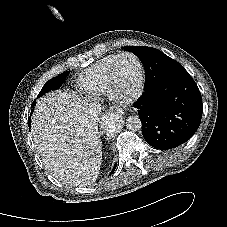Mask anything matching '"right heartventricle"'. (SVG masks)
Instances as JSON below:
<instances>
[{
	"instance_id": "obj_1",
	"label": "right heart ventricle",
	"mask_w": 227,
	"mask_h": 227,
	"mask_svg": "<svg viewBox=\"0 0 227 227\" xmlns=\"http://www.w3.org/2000/svg\"><path fill=\"white\" fill-rule=\"evenodd\" d=\"M117 55L106 56L83 72L77 81L79 91L89 98L108 95L107 74Z\"/></svg>"
}]
</instances>
